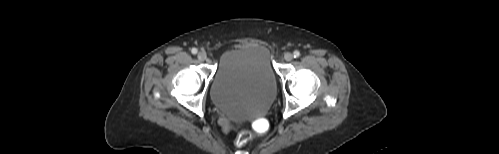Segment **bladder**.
Returning a JSON list of instances; mask_svg holds the SVG:
<instances>
[{
    "label": "bladder",
    "instance_id": "bladder-1",
    "mask_svg": "<svg viewBox=\"0 0 499 154\" xmlns=\"http://www.w3.org/2000/svg\"><path fill=\"white\" fill-rule=\"evenodd\" d=\"M276 92L268 46L239 44L222 54L211 84V99L219 109L234 118L257 116L268 109Z\"/></svg>",
    "mask_w": 499,
    "mask_h": 154
}]
</instances>
